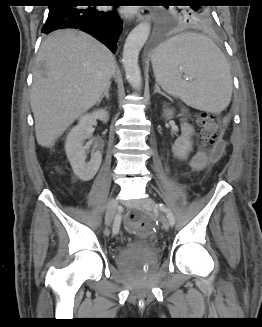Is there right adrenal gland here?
Masks as SVG:
<instances>
[{
	"label": "right adrenal gland",
	"mask_w": 262,
	"mask_h": 327,
	"mask_svg": "<svg viewBox=\"0 0 262 327\" xmlns=\"http://www.w3.org/2000/svg\"><path fill=\"white\" fill-rule=\"evenodd\" d=\"M110 85H111V82H110L109 85L106 87V89H105L103 95L101 96V98L99 99L98 103H100V102L104 99V97H105L107 100H109V88H110Z\"/></svg>",
	"instance_id": "1"
}]
</instances>
